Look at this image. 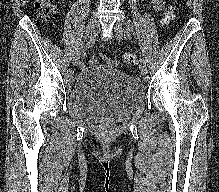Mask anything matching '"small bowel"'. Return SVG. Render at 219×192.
Masks as SVG:
<instances>
[{
    "mask_svg": "<svg viewBox=\"0 0 219 192\" xmlns=\"http://www.w3.org/2000/svg\"><path fill=\"white\" fill-rule=\"evenodd\" d=\"M151 5L154 10L161 11L165 7V1L164 0H151Z\"/></svg>",
    "mask_w": 219,
    "mask_h": 192,
    "instance_id": "c3829d8e",
    "label": "small bowel"
}]
</instances>
